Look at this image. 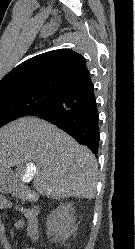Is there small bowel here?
Listing matches in <instances>:
<instances>
[{
	"label": "small bowel",
	"instance_id": "small-bowel-1",
	"mask_svg": "<svg viewBox=\"0 0 135 249\" xmlns=\"http://www.w3.org/2000/svg\"><path fill=\"white\" fill-rule=\"evenodd\" d=\"M4 209H14L20 212L23 215V219L18 220L15 223L16 228H24L26 236L36 242L39 238L38 231V211L36 207H24L14 205L6 196L0 195V210ZM0 244L3 249H12V246L9 244L7 237V230L4 223L1 220L0 215ZM25 249H34V248H25Z\"/></svg>",
	"mask_w": 135,
	"mask_h": 249
}]
</instances>
